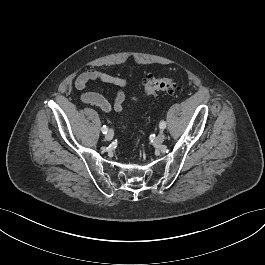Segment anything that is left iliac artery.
Listing matches in <instances>:
<instances>
[{"label": "left iliac artery", "mask_w": 265, "mask_h": 265, "mask_svg": "<svg viewBox=\"0 0 265 265\" xmlns=\"http://www.w3.org/2000/svg\"><path fill=\"white\" fill-rule=\"evenodd\" d=\"M159 127L161 129H165L166 128V122L165 121H161L160 124H159Z\"/></svg>", "instance_id": "44dca946"}]
</instances>
